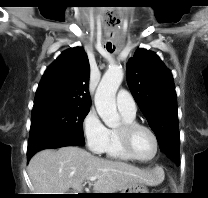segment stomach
Listing matches in <instances>:
<instances>
[{"instance_id": "obj_1", "label": "stomach", "mask_w": 208, "mask_h": 198, "mask_svg": "<svg viewBox=\"0 0 208 198\" xmlns=\"http://www.w3.org/2000/svg\"><path fill=\"white\" fill-rule=\"evenodd\" d=\"M119 193V197L122 198H144L149 193L147 187L142 183H133L126 188L122 189Z\"/></svg>"}]
</instances>
